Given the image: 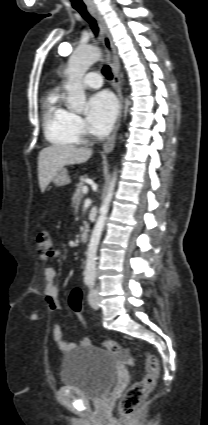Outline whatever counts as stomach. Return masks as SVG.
Here are the masks:
<instances>
[{
  "mask_svg": "<svg viewBox=\"0 0 208 425\" xmlns=\"http://www.w3.org/2000/svg\"><path fill=\"white\" fill-rule=\"evenodd\" d=\"M52 182L56 186H65L71 183V179L68 175L66 168L59 170L52 179Z\"/></svg>",
  "mask_w": 208,
  "mask_h": 425,
  "instance_id": "obj_1",
  "label": "stomach"
}]
</instances>
